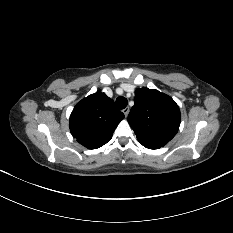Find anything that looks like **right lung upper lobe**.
I'll use <instances>...</instances> for the list:
<instances>
[{
	"mask_svg": "<svg viewBox=\"0 0 233 233\" xmlns=\"http://www.w3.org/2000/svg\"><path fill=\"white\" fill-rule=\"evenodd\" d=\"M124 114L105 93L97 91L81 100L73 109L69 127L77 141L88 149H96L112 138Z\"/></svg>",
	"mask_w": 233,
	"mask_h": 233,
	"instance_id": "1",
	"label": "right lung upper lobe"
}]
</instances>
